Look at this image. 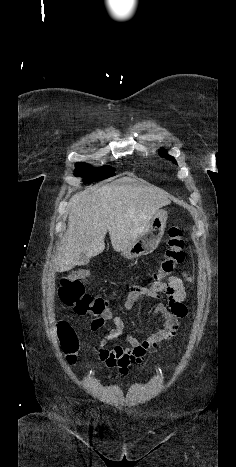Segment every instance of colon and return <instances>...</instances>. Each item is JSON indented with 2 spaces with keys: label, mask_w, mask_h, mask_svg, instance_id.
Wrapping results in <instances>:
<instances>
[{
  "label": "colon",
  "mask_w": 236,
  "mask_h": 467,
  "mask_svg": "<svg viewBox=\"0 0 236 467\" xmlns=\"http://www.w3.org/2000/svg\"><path fill=\"white\" fill-rule=\"evenodd\" d=\"M183 231L178 225L168 228V247L163 259L152 274L155 282H161L164 278L174 274L178 265L184 261ZM90 269L82 268L61 279L59 298L63 305L74 309L79 315H100L108 309V302L100 296H92L87 293L84 280L89 278ZM58 335L63 352L70 364L77 360L80 341L77 333L67 321L58 323Z\"/></svg>",
  "instance_id": "1"
}]
</instances>
